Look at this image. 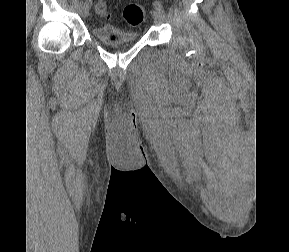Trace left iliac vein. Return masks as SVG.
<instances>
[{
	"mask_svg": "<svg viewBox=\"0 0 289 252\" xmlns=\"http://www.w3.org/2000/svg\"><path fill=\"white\" fill-rule=\"evenodd\" d=\"M153 18L156 22H162L164 19V11L160 8H155L152 12Z\"/></svg>",
	"mask_w": 289,
	"mask_h": 252,
	"instance_id": "obj_1",
	"label": "left iliac vein"
}]
</instances>
